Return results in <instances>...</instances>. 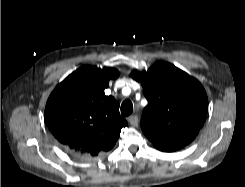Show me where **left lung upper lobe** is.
Returning a JSON list of instances; mask_svg holds the SVG:
<instances>
[{"label": "left lung upper lobe", "instance_id": "obj_1", "mask_svg": "<svg viewBox=\"0 0 245 187\" xmlns=\"http://www.w3.org/2000/svg\"><path fill=\"white\" fill-rule=\"evenodd\" d=\"M148 100L140 126L157 149L190 144L207 114V95L198 80L167 62L133 71Z\"/></svg>", "mask_w": 245, "mask_h": 187}]
</instances>
